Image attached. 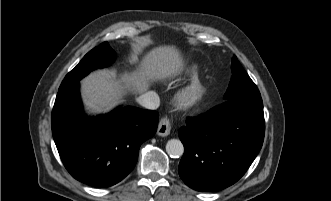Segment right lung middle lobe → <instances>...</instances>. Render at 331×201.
<instances>
[{"label": "right lung middle lobe", "mask_w": 331, "mask_h": 201, "mask_svg": "<svg viewBox=\"0 0 331 201\" xmlns=\"http://www.w3.org/2000/svg\"><path fill=\"white\" fill-rule=\"evenodd\" d=\"M115 59V51L107 42L88 52L80 63L62 81L59 91L79 82L90 71L110 65Z\"/></svg>", "instance_id": "1"}]
</instances>
